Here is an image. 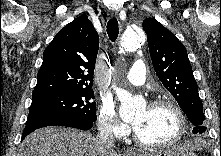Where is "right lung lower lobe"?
Listing matches in <instances>:
<instances>
[{
	"label": "right lung lower lobe",
	"instance_id": "right-lung-lower-lobe-1",
	"mask_svg": "<svg viewBox=\"0 0 221 156\" xmlns=\"http://www.w3.org/2000/svg\"><path fill=\"white\" fill-rule=\"evenodd\" d=\"M46 126H67L81 130H89L92 128L93 122L92 121H51L40 124H30L25 126L21 140H23L28 134H30L34 130Z\"/></svg>",
	"mask_w": 221,
	"mask_h": 156
}]
</instances>
